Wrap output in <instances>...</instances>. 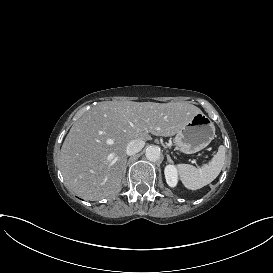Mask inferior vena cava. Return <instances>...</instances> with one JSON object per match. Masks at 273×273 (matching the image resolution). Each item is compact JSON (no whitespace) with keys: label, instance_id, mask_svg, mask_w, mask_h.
Wrapping results in <instances>:
<instances>
[{"label":"inferior vena cava","instance_id":"1","mask_svg":"<svg viewBox=\"0 0 273 273\" xmlns=\"http://www.w3.org/2000/svg\"><path fill=\"white\" fill-rule=\"evenodd\" d=\"M145 145V142L141 139H134L127 144L126 154L133 155L139 152Z\"/></svg>","mask_w":273,"mask_h":273}]
</instances>
